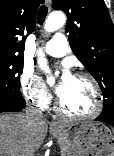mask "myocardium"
I'll use <instances>...</instances> for the list:
<instances>
[{"label":"myocardium","mask_w":114,"mask_h":156,"mask_svg":"<svg viewBox=\"0 0 114 156\" xmlns=\"http://www.w3.org/2000/svg\"><path fill=\"white\" fill-rule=\"evenodd\" d=\"M73 77L84 78L90 82V84L93 87L94 94H95V107L88 114L74 115V114H70V113L66 112L63 109V107L61 105L60 98H58L56 100V105H55L56 112L60 116L70 119V120H89V119H93V118L97 117L103 108V96H102L101 88H100L98 81L90 73L84 72V71H79V72L75 73Z\"/></svg>","instance_id":"1"}]
</instances>
